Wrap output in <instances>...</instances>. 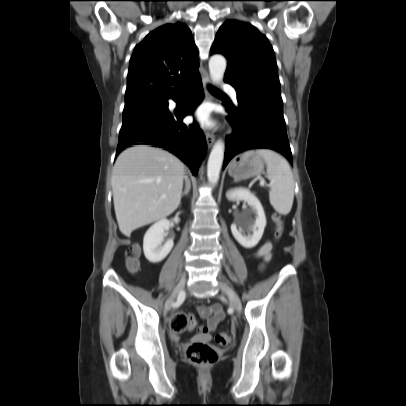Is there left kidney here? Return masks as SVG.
<instances>
[{
	"instance_id": "5707ae66",
	"label": "left kidney",
	"mask_w": 406,
	"mask_h": 406,
	"mask_svg": "<svg viewBox=\"0 0 406 406\" xmlns=\"http://www.w3.org/2000/svg\"><path fill=\"white\" fill-rule=\"evenodd\" d=\"M226 196L230 201L244 200L251 207V212L255 215V219L248 218L240 223V226L246 229L247 235H243L235 223L231 225V231L240 245L247 249L255 247L260 241L266 226V216L260 201L254 194L244 188L231 189L227 192Z\"/></svg>"
}]
</instances>
